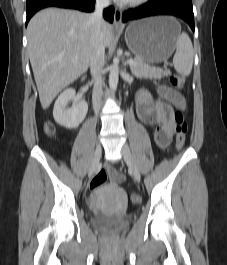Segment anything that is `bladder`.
Instances as JSON below:
<instances>
[{"label": "bladder", "mask_w": 227, "mask_h": 265, "mask_svg": "<svg viewBox=\"0 0 227 265\" xmlns=\"http://www.w3.org/2000/svg\"><path fill=\"white\" fill-rule=\"evenodd\" d=\"M105 191L106 193H111L117 191L115 186L101 187L99 191ZM91 225L103 232H118L127 227L128 221L124 218H116L104 213H96L91 217Z\"/></svg>", "instance_id": "obj_1"}]
</instances>
